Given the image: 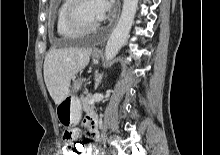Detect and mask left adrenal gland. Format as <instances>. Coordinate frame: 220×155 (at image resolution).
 Here are the masks:
<instances>
[{"instance_id": "obj_1", "label": "left adrenal gland", "mask_w": 220, "mask_h": 155, "mask_svg": "<svg viewBox=\"0 0 220 155\" xmlns=\"http://www.w3.org/2000/svg\"><path fill=\"white\" fill-rule=\"evenodd\" d=\"M103 74H99L98 72L95 73V89L98 88L99 84L101 83Z\"/></svg>"}]
</instances>
